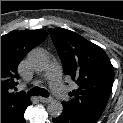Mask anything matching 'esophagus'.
<instances>
[{"instance_id": "obj_1", "label": "esophagus", "mask_w": 123, "mask_h": 123, "mask_svg": "<svg viewBox=\"0 0 123 123\" xmlns=\"http://www.w3.org/2000/svg\"><path fill=\"white\" fill-rule=\"evenodd\" d=\"M39 100L42 103H49L52 99L51 98L40 97Z\"/></svg>"}]
</instances>
